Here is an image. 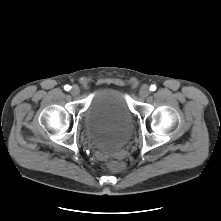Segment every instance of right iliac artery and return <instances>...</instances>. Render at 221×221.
Returning <instances> with one entry per match:
<instances>
[{
    "label": "right iliac artery",
    "mask_w": 221,
    "mask_h": 221,
    "mask_svg": "<svg viewBox=\"0 0 221 221\" xmlns=\"http://www.w3.org/2000/svg\"><path fill=\"white\" fill-rule=\"evenodd\" d=\"M64 89H65L66 91H69V90L71 89V86L65 85V86H64Z\"/></svg>",
    "instance_id": "82829eb1"
}]
</instances>
